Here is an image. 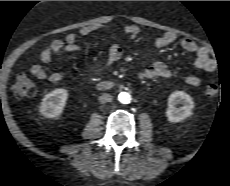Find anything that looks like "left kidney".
<instances>
[{
	"label": "left kidney",
	"mask_w": 230,
	"mask_h": 186,
	"mask_svg": "<svg viewBox=\"0 0 230 186\" xmlns=\"http://www.w3.org/2000/svg\"><path fill=\"white\" fill-rule=\"evenodd\" d=\"M182 104L181 107H176ZM194 101L190 95L183 91H175L169 95L166 116L170 122L177 123L192 115Z\"/></svg>",
	"instance_id": "obj_1"
}]
</instances>
